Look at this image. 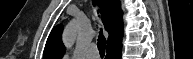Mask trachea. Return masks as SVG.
<instances>
[{
  "label": "trachea",
  "mask_w": 193,
  "mask_h": 59,
  "mask_svg": "<svg viewBox=\"0 0 193 59\" xmlns=\"http://www.w3.org/2000/svg\"><path fill=\"white\" fill-rule=\"evenodd\" d=\"M97 47H98L99 53L101 55H104L105 54V49H106V39L103 36L102 30L100 31V34H99V37H98Z\"/></svg>",
  "instance_id": "3493384b"
}]
</instances>
